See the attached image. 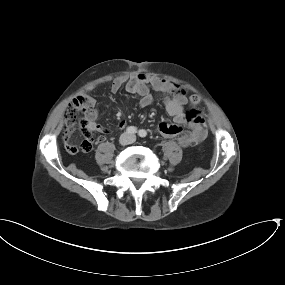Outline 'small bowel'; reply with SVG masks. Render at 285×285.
<instances>
[{
    "instance_id": "obj_1",
    "label": "small bowel",
    "mask_w": 285,
    "mask_h": 285,
    "mask_svg": "<svg viewBox=\"0 0 285 285\" xmlns=\"http://www.w3.org/2000/svg\"><path fill=\"white\" fill-rule=\"evenodd\" d=\"M161 80L158 76L150 73H140L126 77H118L112 81L110 90L112 93H117L123 85L128 93L137 95L139 97V105L141 107H148L153 103V97L150 93L149 87L158 88ZM96 88L95 85H90L84 93L89 96L91 102L94 98L91 96ZM187 99L184 95H178L171 99L164 101V106L169 115L174 119V124L161 123L156 128V133L166 138L178 137V143L181 147H191L199 145L207 136V129L203 117V113L197 111H184V105ZM96 110H90L87 114V121L89 123V130L97 133H105L107 128L102 124L96 122ZM184 125L188 127V131L184 130ZM126 127V122L121 120L118 122L113 130H122ZM74 130V123L69 122L66 125V133L64 136L65 149L69 154L76 155L80 152H90L93 146V140L87 138L81 141L80 144L73 143L70 139Z\"/></svg>"
}]
</instances>
